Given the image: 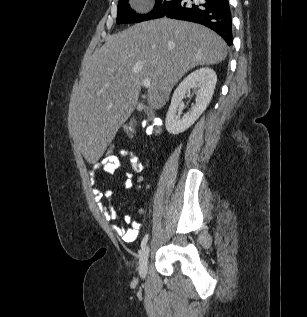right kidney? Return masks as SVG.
<instances>
[{
    "label": "right kidney",
    "mask_w": 307,
    "mask_h": 317,
    "mask_svg": "<svg viewBox=\"0 0 307 317\" xmlns=\"http://www.w3.org/2000/svg\"><path fill=\"white\" fill-rule=\"evenodd\" d=\"M217 82L215 71L209 67L190 73L176 88L166 114L165 126L169 133L177 135L184 132L200 117L209 105ZM191 89H196L195 105L180 118L178 107Z\"/></svg>",
    "instance_id": "1"
}]
</instances>
